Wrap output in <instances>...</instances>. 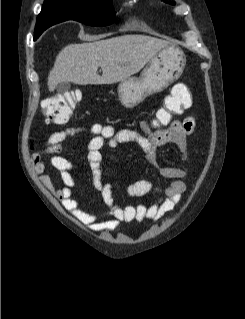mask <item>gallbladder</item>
Segmentation results:
<instances>
[{
	"instance_id": "gallbladder-1",
	"label": "gallbladder",
	"mask_w": 245,
	"mask_h": 319,
	"mask_svg": "<svg viewBox=\"0 0 245 319\" xmlns=\"http://www.w3.org/2000/svg\"><path fill=\"white\" fill-rule=\"evenodd\" d=\"M70 83H68V82H62V83H59L58 85H57V91L58 92H60V93H63V92H65V91H68L69 89H70Z\"/></svg>"
}]
</instances>
